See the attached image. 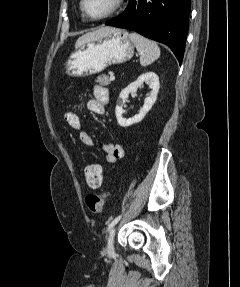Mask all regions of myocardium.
Segmentation results:
<instances>
[{
    "label": "myocardium",
    "mask_w": 240,
    "mask_h": 287,
    "mask_svg": "<svg viewBox=\"0 0 240 287\" xmlns=\"http://www.w3.org/2000/svg\"><path fill=\"white\" fill-rule=\"evenodd\" d=\"M122 3H123V0H113L111 8L105 14H103L101 16H97V17H93V16L88 14L86 7H85L86 0H81L80 8H81L83 15L88 20L97 22V21H103V20H106V19L112 17L120 9Z\"/></svg>",
    "instance_id": "obj_1"
}]
</instances>
